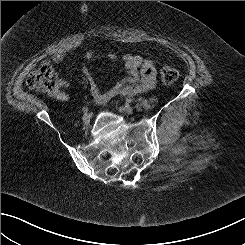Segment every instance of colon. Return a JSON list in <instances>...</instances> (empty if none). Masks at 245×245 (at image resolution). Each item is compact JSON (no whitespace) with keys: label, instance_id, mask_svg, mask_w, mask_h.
Here are the masks:
<instances>
[{"label":"colon","instance_id":"5ec220e1","mask_svg":"<svg viewBox=\"0 0 245 245\" xmlns=\"http://www.w3.org/2000/svg\"><path fill=\"white\" fill-rule=\"evenodd\" d=\"M178 71L172 67H164L160 72L161 81L165 85H172L178 79ZM27 86L40 93L49 96H58L57 77L50 64H42L38 69L31 72L26 79Z\"/></svg>","mask_w":245,"mask_h":245}]
</instances>
